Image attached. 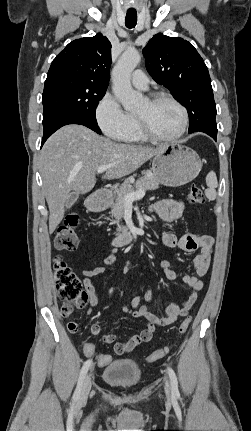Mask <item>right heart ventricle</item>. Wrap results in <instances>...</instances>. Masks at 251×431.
<instances>
[{
	"mask_svg": "<svg viewBox=\"0 0 251 431\" xmlns=\"http://www.w3.org/2000/svg\"><path fill=\"white\" fill-rule=\"evenodd\" d=\"M132 124L129 131L121 138L122 141L127 143H143L147 138L141 133L136 117L132 116Z\"/></svg>",
	"mask_w": 251,
	"mask_h": 431,
	"instance_id": "1",
	"label": "right heart ventricle"
}]
</instances>
